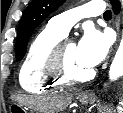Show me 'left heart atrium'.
I'll list each match as a JSON object with an SVG mask.
<instances>
[{
    "label": "left heart atrium",
    "mask_w": 123,
    "mask_h": 113,
    "mask_svg": "<svg viewBox=\"0 0 123 113\" xmlns=\"http://www.w3.org/2000/svg\"><path fill=\"white\" fill-rule=\"evenodd\" d=\"M110 41L100 31L87 29L77 45V57L89 69L97 66L107 55Z\"/></svg>",
    "instance_id": "39dd6f15"
}]
</instances>
